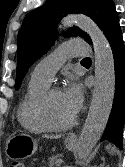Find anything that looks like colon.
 Instances as JSON below:
<instances>
[{
    "mask_svg": "<svg viewBox=\"0 0 125 167\" xmlns=\"http://www.w3.org/2000/svg\"><path fill=\"white\" fill-rule=\"evenodd\" d=\"M8 167H27V165L22 161L14 160L9 164Z\"/></svg>",
    "mask_w": 125,
    "mask_h": 167,
    "instance_id": "1",
    "label": "colon"
}]
</instances>
